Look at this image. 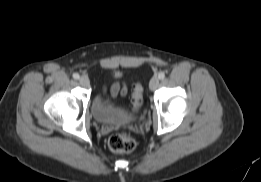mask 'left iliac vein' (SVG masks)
<instances>
[{"mask_svg":"<svg viewBox=\"0 0 261 182\" xmlns=\"http://www.w3.org/2000/svg\"><path fill=\"white\" fill-rule=\"evenodd\" d=\"M159 85L158 77H153L149 83V87L152 91H154Z\"/></svg>","mask_w":261,"mask_h":182,"instance_id":"left-iliac-vein-1","label":"left iliac vein"}]
</instances>
